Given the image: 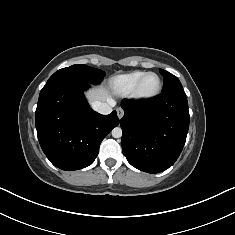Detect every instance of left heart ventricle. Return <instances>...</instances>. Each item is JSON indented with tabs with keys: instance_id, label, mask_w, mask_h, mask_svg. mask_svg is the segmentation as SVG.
Returning <instances> with one entry per match:
<instances>
[{
	"instance_id": "b2bd125f",
	"label": "left heart ventricle",
	"mask_w": 235,
	"mask_h": 235,
	"mask_svg": "<svg viewBox=\"0 0 235 235\" xmlns=\"http://www.w3.org/2000/svg\"><path fill=\"white\" fill-rule=\"evenodd\" d=\"M157 85H158L157 77L155 75H149L142 83L141 91L143 93H151L155 91Z\"/></svg>"
}]
</instances>
